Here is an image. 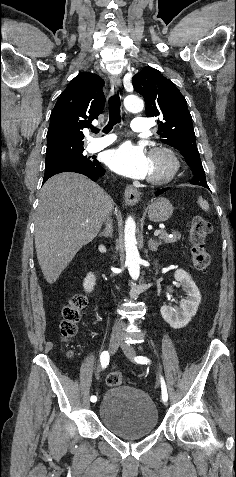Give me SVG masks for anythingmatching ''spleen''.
Wrapping results in <instances>:
<instances>
[{"instance_id":"1","label":"spleen","mask_w":236,"mask_h":477,"mask_svg":"<svg viewBox=\"0 0 236 477\" xmlns=\"http://www.w3.org/2000/svg\"><path fill=\"white\" fill-rule=\"evenodd\" d=\"M198 204L199 206L204 210L208 211L209 210V204L206 200H204L202 197L198 198Z\"/></svg>"}]
</instances>
